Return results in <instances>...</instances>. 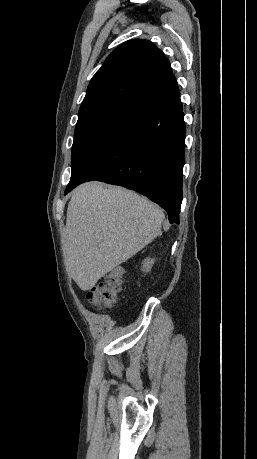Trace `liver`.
Instances as JSON below:
<instances>
[{
  "instance_id": "obj_1",
  "label": "liver",
  "mask_w": 257,
  "mask_h": 459,
  "mask_svg": "<svg viewBox=\"0 0 257 459\" xmlns=\"http://www.w3.org/2000/svg\"><path fill=\"white\" fill-rule=\"evenodd\" d=\"M164 213L121 187L90 182L76 188L67 208L65 265L83 291L90 290L160 233Z\"/></svg>"
}]
</instances>
